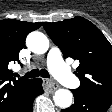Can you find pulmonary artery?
<instances>
[{
    "mask_svg": "<svg viewBox=\"0 0 112 112\" xmlns=\"http://www.w3.org/2000/svg\"><path fill=\"white\" fill-rule=\"evenodd\" d=\"M47 65L52 75L69 88L79 87V80L71 73L62 59L59 48L53 46L47 55Z\"/></svg>",
    "mask_w": 112,
    "mask_h": 112,
    "instance_id": "e3ab8cb5",
    "label": "pulmonary artery"
}]
</instances>
